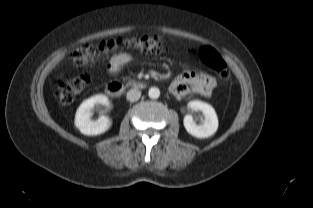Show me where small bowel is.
Returning a JSON list of instances; mask_svg holds the SVG:
<instances>
[{"instance_id":"c3829d8e","label":"small bowel","mask_w":313,"mask_h":208,"mask_svg":"<svg viewBox=\"0 0 313 208\" xmlns=\"http://www.w3.org/2000/svg\"><path fill=\"white\" fill-rule=\"evenodd\" d=\"M132 61L129 54L120 52L111 57L108 72L116 76ZM215 87V79L207 74L196 73L187 67L176 76L169 85L170 93L175 97H185L192 94L208 97Z\"/></svg>"}]
</instances>
